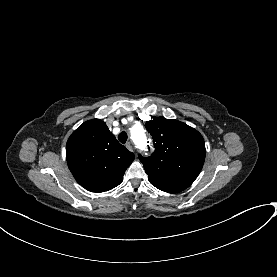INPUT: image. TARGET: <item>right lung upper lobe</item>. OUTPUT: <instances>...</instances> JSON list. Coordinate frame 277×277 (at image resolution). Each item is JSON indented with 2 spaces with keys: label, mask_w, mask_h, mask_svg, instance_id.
<instances>
[{
  "label": "right lung upper lobe",
  "mask_w": 277,
  "mask_h": 277,
  "mask_svg": "<svg viewBox=\"0 0 277 277\" xmlns=\"http://www.w3.org/2000/svg\"><path fill=\"white\" fill-rule=\"evenodd\" d=\"M66 159L76 181L91 192L118 186L134 154L121 145L99 119L84 122L69 137Z\"/></svg>",
  "instance_id": "obj_1"
}]
</instances>
